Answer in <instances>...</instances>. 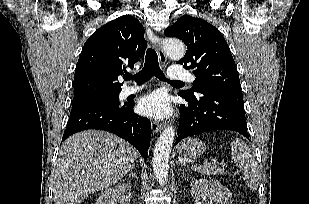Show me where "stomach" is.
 I'll use <instances>...</instances> for the list:
<instances>
[{"label":"stomach","mask_w":309,"mask_h":204,"mask_svg":"<svg viewBox=\"0 0 309 204\" xmlns=\"http://www.w3.org/2000/svg\"><path fill=\"white\" fill-rule=\"evenodd\" d=\"M180 156L185 158L200 157L206 151V145L202 141L195 138L183 140L177 147Z\"/></svg>","instance_id":"0dacf381"}]
</instances>
